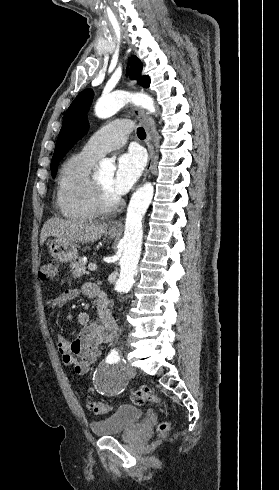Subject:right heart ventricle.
Listing matches in <instances>:
<instances>
[{"mask_svg":"<svg viewBox=\"0 0 279 490\" xmlns=\"http://www.w3.org/2000/svg\"><path fill=\"white\" fill-rule=\"evenodd\" d=\"M96 160L79 154L62 165L57 187V202L64 218L73 222H87L98 216L95 205V185L89 170Z\"/></svg>","mask_w":279,"mask_h":490,"instance_id":"1","label":"right heart ventricle"}]
</instances>
